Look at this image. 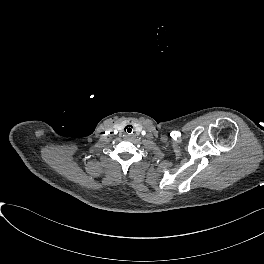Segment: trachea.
<instances>
[{
    "mask_svg": "<svg viewBox=\"0 0 264 264\" xmlns=\"http://www.w3.org/2000/svg\"><path fill=\"white\" fill-rule=\"evenodd\" d=\"M124 131L127 135H131L134 131V128L131 124L125 126Z\"/></svg>",
    "mask_w": 264,
    "mask_h": 264,
    "instance_id": "obj_1",
    "label": "trachea"
}]
</instances>
